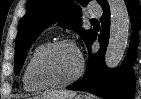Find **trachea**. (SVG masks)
<instances>
[{"label":"trachea","mask_w":141,"mask_h":99,"mask_svg":"<svg viewBox=\"0 0 141 99\" xmlns=\"http://www.w3.org/2000/svg\"><path fill=\"white\" fill-rule=\"evenodd\" d=\"M91 22H92V23H97L98 20H96V19H91Z\"/></svg>","instance_id":"1"}]
</instances>
